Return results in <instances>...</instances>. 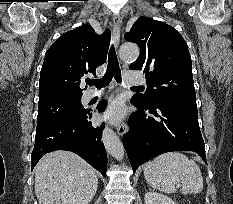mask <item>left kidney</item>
<instances>
[{
	"label": "left kidney",
	"instance_id": "5707ae66",
	"mask_svg": "<svg viewBox=\"0 0 233 204\" xmlns=\"http://www.w3.org/2000/svg\"><path fill=\"white\" fill-rule=\"evenodd\" d=\"M144 202L145 204H178L170 197L154 191L145 194Z\"/></svg>",
	"mask_w": 233,
	"mask_h": 204
}]
</instances>
